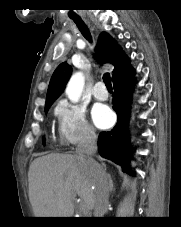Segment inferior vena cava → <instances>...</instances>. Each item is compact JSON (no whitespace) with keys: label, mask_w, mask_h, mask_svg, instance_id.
Instances as JSON below:
<instances>
[{"label":"inferior vena cava","mask_w":181,"mask_h":227,"mask_svg":"<svg viewBox=\"0 0 181 227\" xmlns=\"http://www.w3.org/2000/svg\"><path fill=\"white\" fill-rule=\"evenodd\" d=\"M96 150L97 136L93 130L89 129L86 131L83 140L77 146L76 153L83 158L88 165L95 169L94 217H103L108 208L110 183L105 171L91 158Z\"/></svg>","instance_id":"602c4592"}]
</instances>
